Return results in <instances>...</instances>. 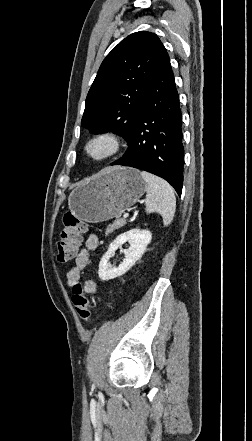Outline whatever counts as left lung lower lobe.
I'll list each match as a JSON object with an SVG mask.
<instances>
[{
  "label": "left lung lower lobe",
  "instance_id": "0a47b994",
  "mask_svg": "<svg viewBox=\"0 0 252 441\" xmlns=\"http://www.w3.org/2000/svg\"><path fill=\"white\" fill-rule=\"evenodd\" d=\"M182 114L170 59L163 48L125 154L111 165L130 166L183 186Z\"/></svg>",
  "mask_w": 252,
  "mask_h": 441
}]
</instances>
